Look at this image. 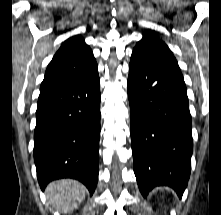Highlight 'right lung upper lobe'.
Wrapping results in <instances>:
<instances>
[{
    "instance_id": "cb5924a9",
    "label": "right lung upper lobe",
    "mask_w": 221,
    "mask_h": 215,
    "mask_svg": "<svg viewBox=\"0 0 221 215\" xmlns=\"http://www.w3.org/2000/svg\"><path fill=\"white\" fill-rule=\"evenodd\" d=\"M97 70L96 60L83 37L72 36L61 45L49 63L39 97L69 86Z\"/></svg>"
}]
</instances>
